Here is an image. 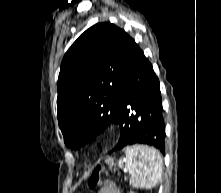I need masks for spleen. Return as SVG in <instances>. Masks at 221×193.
<instances>
[{"label": "spleen", "instance_id": "spleen-1", "mask_svg": "<svg viewBox=\"0 0 221 193\" xmlns=\"http://www.w3.org/2000/svg\"><path fill=\"white\" fill-rule=\"evenodd\" d=\"M125 171L131 177L130 185L135 188H154L162 176V157L154 148L148 146H126Z\"/></svg>", "mask_w": 221, "mask_h": 193}]
</instances>
